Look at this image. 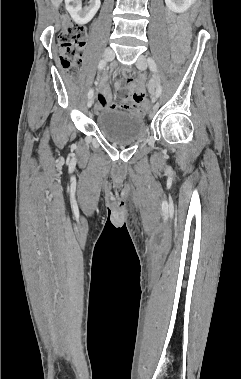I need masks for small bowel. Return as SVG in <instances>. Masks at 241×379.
<instances>
[{
  "label": "small bowel",
  "mask_w": 241,
  "mask_h": 379,
  "mask_svg": "<svg viewBox=\"0 0 241 379\" xmlns=\"http://www.w3.org/2000/svg\"><path fill=\"white\" fill-rule=\"evenodd\" d=\"M167 19L171 32L178 34L176 39L178 49L179 51H183L182 38L188 29L185 17L182 15L176 16L172 12H168ZM115 88L119 93H124V95H121L124 104L121 105L120 108L136 112H140L145 108L143 104L144 85L141 81L132 82L128 87H125L121 81H116ZM97 93L100 99V107L109 109L117 108V106L111 102V90L104 77L98 83Z\"/></svg>",
  "instance_id": "obj_1"
}]
</instances>
